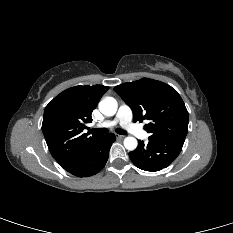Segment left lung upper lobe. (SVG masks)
I'll list each match as a JSON object with an SVG mask.
<instances>
[{"mask_svg":"<svg viewBox=\"0 0 233 233\" xmlns=\"http://www.w3.org/2000/svg\"><path fill=\"white\" fill-rule=\"evenodd\" d=\"M133 111V121L148 120L144 129L150 140H185L188 111L178 92L171 86L143 78L114 87Z\"/></svg>","mask_w":233,"mask_h":233,"instance_id":"5c2ea615","label":"left lung upper lobe"}]
</instances>
